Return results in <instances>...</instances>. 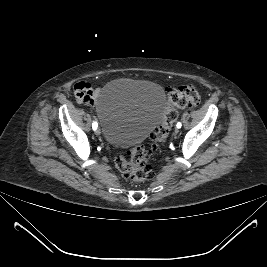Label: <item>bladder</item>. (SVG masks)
<instances>
[{"instance_id": "31cf9c89", "label": "bladder", "mask_w": 267, "mask_h": 267, "mask_svg": "<svg viewBox=\"0 0 267 267\" xmlns=\"http://www.w3.org/2000/svg\"><path fill=\"white\" fill-rule=\"evenodd\" d=\"M167 98L159 85L132 79H116L99 93L96 111L106 140L128 147L145 139L162 120Z\"/></svg>"}]
</instances>
